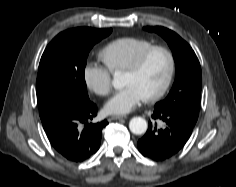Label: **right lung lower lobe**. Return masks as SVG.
Returning <instances> with one entry per match:
<instances>
[{
  "label": "right lung lower lobe",
  "instance_id": "right-lung-lower-lobe-1",
  "mask_svg": "<svg viewBox=\"0 0 236 187\" xmlns=\"http://www.w3.org/2000/svg\"><path fill=\"white\" fill-rule=\"evenodd\" d=\"M97 107L90 100L59 113L45 127L48 139L56 151L71 162H83L100 147L102 129L107 120L88 123L97 115ZM84 124V129L80 125Z\"/></svg>",
  "mask_w": 236,
  "mask_h": 187
}]
</instances>
